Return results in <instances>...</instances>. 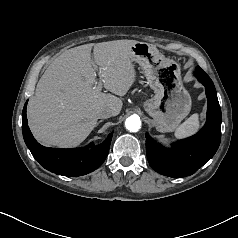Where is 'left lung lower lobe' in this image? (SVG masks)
Segmentation results:
<instances>
[{"instance_id":"left-lung-lower-lobe-1","label":"left lung lower lobe","mask_w":238,"mask_h":238,"mask_svg":"<svg viewBox=\"0 0 238 238\" xmlns=\"http://www.w3.org/2000/svg\"><path fill=\"white\" fill-rule=\"evenodd\" d=\"M195 76L205 86L208 108L205 126L194 136L177 141L171 148L155 142L146 133V154L150 166L158 173L185 177L195 173L216 153L221 140V110L216 89L209 76L198 66Z\"/></svg>"}]
</instances>
